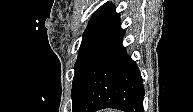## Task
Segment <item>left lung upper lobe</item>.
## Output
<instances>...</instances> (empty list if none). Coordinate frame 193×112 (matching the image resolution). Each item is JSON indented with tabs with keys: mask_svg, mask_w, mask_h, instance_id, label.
<instances>
[{
	"mask_svg": "<svg viewBox=\"0 0 193 112\" xmlns=\"http://www.w3.org/2000/svg\"><path fill=\"white\" fill-rule=\"evenodd\" d=\"M118 15L119 14L116 13L115 8L111 4L106 3L101 6L93 14L88 27L83 34L79 53L96 34L108 26Z\"/></svg>",
	"mask_w": 193,
	"mask_h": 112,
	"instance_id": "obj_1",
	"label": "left lung upper lobe"
}]
</instances>
